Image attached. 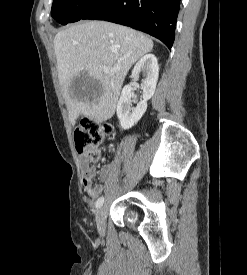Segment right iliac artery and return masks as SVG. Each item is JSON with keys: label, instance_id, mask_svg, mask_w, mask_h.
Here are the masks:
<instances>
[{"label": "right iliac artery", "instance_id": "1", "mask_svg": "<svg viewBox=\"0 0 247 275\" xmlns=\"http://www.w3.org/2000/svg\"><path fill=\"white\" fill-rule=\"evenodd\" d=\"M103 203H104V197L101 196L97 199V201L95 203L96 208H100L103 205Z\"/></svg>", "mask_w": 247, "mask_h": 275}]
</instances>
